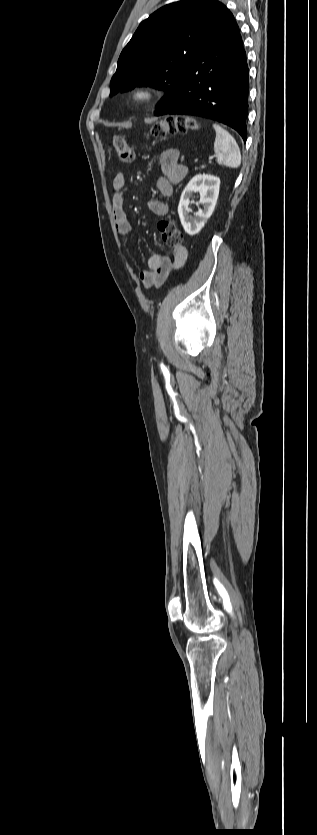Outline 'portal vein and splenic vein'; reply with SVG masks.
I'll use <instances>...</instances> for the list:
<instances>
[{
	"label": "portal vein and splenic vein",
	"instance_id": "1",
	"mask_svg": "<svg viewBox=\"0 0 317 835\" xmlns=\"http://www.w3.org/2000/svg\"><path fill=\"white\" fill-rule=\"evenodd\" d=\"M214 159H215V156H210V157L208 158V162H209V163H211Z\"/></svg>",
	"mask_w": 317,
	"mask_h": 835
}]
</instances>
